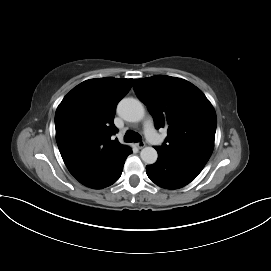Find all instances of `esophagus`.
<instances>
[{"mask_svg": "<svg viewBox=\"0 0 271 271\" xmlns=\"http://www.w3.org/2000/svg\"><path fill=\"white\" fill-rule=\"evenodd\" d=\"M136 146L139 148V149H142L146 146L145 142L144 141H139L138 143H136Z\"/></svg>", "mask_w": 271, "mask_h": 271, "instance_id": "1", "label": "esophagus"}]
</instances>
